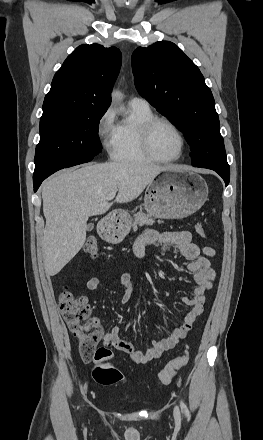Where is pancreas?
<instances>
[{
    "label": "pancreas",
    "instance_id": "pancreas-1",
    "mask_svg": "<svg viewBox=\"0 0 263 440\" xmlns=\"http://www.w3.org/2000/svg\"><path fill=\"white\" fill-rule=\"evenodd\" d=\"M154 219H152L149 215H146L143 211H139L134 214L133 228H137V225H152L154 223Z\"/></svg>",
    "mask_w": 263,
    "mask_h": 440
}]
</instances>
